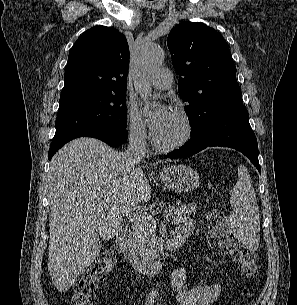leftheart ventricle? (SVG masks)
Segmentation results:
<instances>
[{"mask_svg": "<svg viewBox=\"0 0 297 305\" xmlns=\"http://www.w3.org/2000/svg\"><path fill=\"white\" fill-rule=\"evenodd\" d=\"M183 132V125L179 118L173 114L165 128L155 138L161 143H171L178 139Z\"/></svg>", "mask_w": 297, "mask_h": 305, "instance_id": "left-heart-ventricle-1", "label": "left heart ventricle"}]
</instances>
